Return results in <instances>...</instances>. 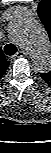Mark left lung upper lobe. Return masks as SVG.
Returning <instances> with one entry per match:
<instances>
[{"label":"left lung upper lobe","mask_w":51,"mask_h":153,"mask_svg":"<svg viewBox=\"0 0 51 153\" xmlns=\"http://www.w3.org/2000/svg\"><path fill=\"white\" fill-rule=\"evenodd\" d=\"M37 11L51 40V0H41ZM40 75L45 82L51 85V71L48 73H41Z\"/></svg>","instance_id":"1"}]
</instances>
